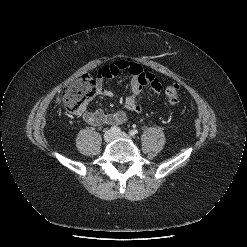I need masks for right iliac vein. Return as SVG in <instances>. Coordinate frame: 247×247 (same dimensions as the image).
I'll return each mask as SVG.
<instances>
[{"mask_svg":"<svg viewBox=\"0 0 247 247\" xmlns=\"http://www.w3.org/2000/svg\"><path fill=\"white\" fill-rule=\"evenodd\" d=\"M114 139V133L111 130H108L104 134L105 142H111Z\"/></svg>","mask_w":247,"mask_h":247,"instance_id":"63e3f726","label":"right iliac vein"}]
</instances>
